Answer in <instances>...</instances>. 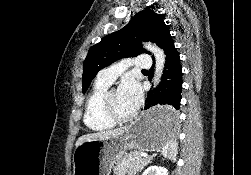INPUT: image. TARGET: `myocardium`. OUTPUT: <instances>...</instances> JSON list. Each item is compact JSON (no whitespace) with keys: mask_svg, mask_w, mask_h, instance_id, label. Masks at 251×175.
<instances>
[{"mask_svg":"<svg viewBox=\"0 0 251 175\" xmlns=\"http://www.w3.org/2000/svg\"><path fill=\"white\" fill-rule=\"evenodd\" d=\"M115 90V88H108L102 98H101V102H100V106H101V110H102V113L108 118L110 119L111 121L113 122H120V121H128L132 118L131 115H119V114H116L114 113L112 110H111V107H110V103H109V98H110V95L111 93Z\"/></svg>","mask_w":251,"mask_h":175,"instance_id":"myocardium-1","label":"myocardium"}]
</instances>
